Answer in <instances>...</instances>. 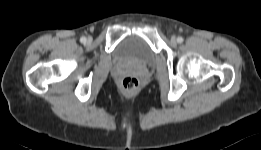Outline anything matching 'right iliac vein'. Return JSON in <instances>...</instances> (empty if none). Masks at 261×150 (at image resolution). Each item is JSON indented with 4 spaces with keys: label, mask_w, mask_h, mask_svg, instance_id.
Segmentation results:
<instances>
[{
    "label": "right iliac vein",
    "mask_w": 261,
    "mask_h": 150,
    "mask_svg": "<svg viewBox=\"0 0 261 150\" xmlns=\"http://www.w3.org/2000/svg\"><path fill=\"white\" fill-rule=\"evenodd\" d=\"M87 41H88V42H91V41H92V38H91V37H89Z\"/></svg>",
    "instance_id": "obj_1"
}]
</instances>
